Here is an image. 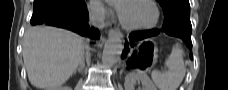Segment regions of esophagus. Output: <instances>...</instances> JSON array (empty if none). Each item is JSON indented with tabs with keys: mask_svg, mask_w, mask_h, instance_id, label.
Listing matches in <instances>:
<instances>
[{
	"mask_svg": "<svg viewBox=\"0 0 228 90\" xmlns=\"http://www.w3.org/2000/svg\"><path fill=\"white\" fill-rule=\"evenodd\" d=\"M108 35H109L110 37H120V38L123 37V35H122L121 32H119V31H117V30H114V29H110L109 32H108Z\"/></svg>",
	"mask_w": 228,
	"mask_h": 90,
	"instance_id": "obj_1",
	"label": "esophagus"
}]
</instances>
